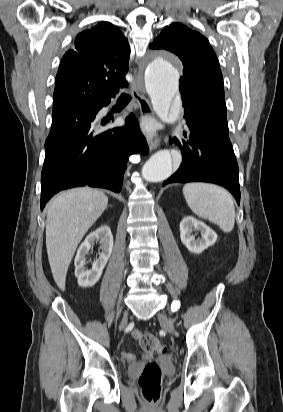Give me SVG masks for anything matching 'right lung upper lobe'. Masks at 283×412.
Masks as SVG:
<instances>
[{"label": "right lung upper lobe", "mask_w": 283, "mask_h": 412, "mask_svg": "<svg viewBox=\"0 0 283 412\" xmlns=\"http://www.w3.org/2000/svg\"><path fill=\"white\" fill-rule=\"evenodd\" d=\"M129 56L127 39L109 22L78 34L57 73L52 115L78 102L115 96L119 88L127 87Z\"/></svg>", "instance_id": "obj_1"}]
</instances>
